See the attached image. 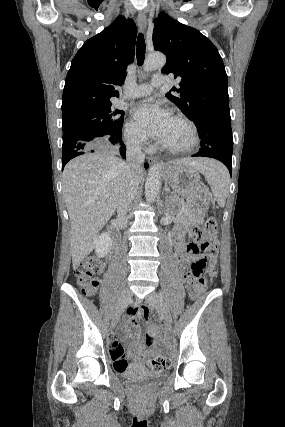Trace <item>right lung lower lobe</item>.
Segmentation results:
<instances>
[{"mask_svg":"<svg viewBox=\"0 0 285 427\" xmlns=\"http://www.w3.org/2000/svg\"><path fill=\"white\" fill-rule=\"evenodd\" d=\"M118 145H121L120 147V154L122 155L123 158H125V146L123 144V142L120 140L118 142ZM107 146V145H105ZM103 146H89L87 143H82L79 142L77 144V146L75 148H70L66 151H63V155H62V170L64 168V166L66 165V163L71 160L72 158L84 154L86 152H94L95 150L102 148ZM145 168H148V164H145Z\"/></svg>","mask_w":285,"mask_h":427,"instance_id":"right-lung-lower-lobe-1","label":"right lung lower lobe"}]
</instances>
